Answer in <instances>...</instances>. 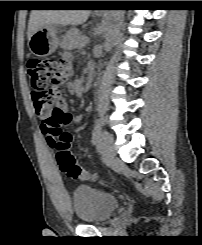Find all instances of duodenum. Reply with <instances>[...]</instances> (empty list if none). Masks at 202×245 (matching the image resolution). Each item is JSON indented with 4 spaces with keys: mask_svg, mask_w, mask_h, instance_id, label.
<instances>
[{
    "mask_svg": "<svg viewBox=\"0 0 202 245\" xmlns=\"http://www.w3.org/2000/svg\"><path fill=\"white\" fill-rule=\"evenodd\" d=\"M95 75V67L93 64H88L86 68V80H85V86L89 87L91 83L93 82Z\"/></svg>",
    "mask_w": 202,
    "mask_h": 245,
    "instance_id": "410a0bca",
    "label": "duodenum"
}]
</instances>
